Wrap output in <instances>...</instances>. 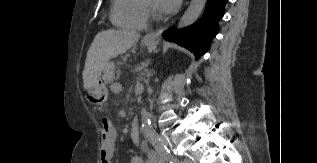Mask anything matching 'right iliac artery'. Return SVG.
<instances>
[{"label":"right iliac artery","instance_id":"obj_1","mask_svg":"<svg viewBox=\"0 0 317 163\" xmlns=\"http://www.w3.org/2000/svg\"><path fill=\"white\" fill-rule=\"evenodd\" d=\"M163 160H164L165 162H168V161H169V157H168V154H167V153H164V154H163Z\"/></svg>","mask_w":317,"mask_h":163}]
</instances>
